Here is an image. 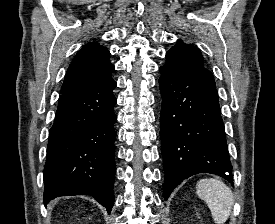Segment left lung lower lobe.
<instances>
[{"instance_id": "0a47b994", "label": "left lung lower lobe", "mask_w": 275, "mask_h": 224, "mask_svg": "<svg viewBox=\"0 0 275 224\" xmlns=\"http://www.w3.org/2000/svg\"><path fill=\"white\" fill-rule=\"evenodd\" d=\"M160 72L164 198L185 178L198 173L219 175L233 185L215 86L196 74L170 76L162 69Z\"/></svg>"}]
</instances>
